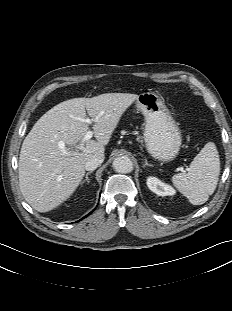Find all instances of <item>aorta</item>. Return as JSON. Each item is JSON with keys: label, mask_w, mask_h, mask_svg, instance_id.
<instances>
[{"label": "aorta", "mask_w": 232, "mask_h": 311, "mask_svg": "<svg viewBox=\"0 0 232 311\" xmlns=\"http://www.w3.org/2000/svg\"><path fill=\"white\" fill-rule=\"evenodd\" d=\"M113 168L118 173H129L133 170V163L127 156H118L113 161Z\"/></svg>", "instance_id": "762f6f07"}]
</instances>
